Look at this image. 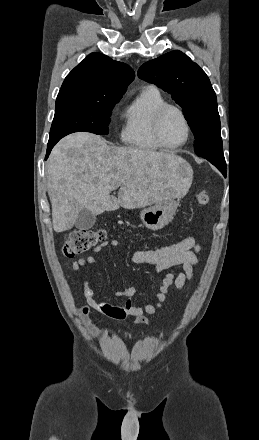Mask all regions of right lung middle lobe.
I'll use <instances>...</instances> for the list:
<instances>
[{
  "label": "right lung middle lobe",
  "instance_id": "right-lung-middle-lobe-1",
  "mask_svg": "<svg viewBox=\"0 0 259 440\" xmlns=\"http://www.w3.org/2000/svg\"><path fill=\"white\" fill-rule=\"evenodd\" d=\"M119 100L97 101L79 97H57L49 141L60 140L78 131L107 135L111 111Z\"/></svg>",
  "mask_w": 259,
  "mask_h": 440
}]
</instances>
